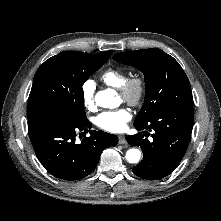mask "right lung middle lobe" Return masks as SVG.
Wrapping results in <instances>:
<instances>
[{
    "label": "right lung middle lobe",
    "mask_w": 221,
    "mask_h": 221,
    "mask_svg": "<svg viewBox=\"0 0 221 221\" xmlns=\"http://www.w3.org/2000/svg\"><path fill=\"white\" fill-rule=\"evenodd\" d=\"M108 59L102 53L65 51L46 60L34 76L28 118L48 112L74 121L86 120L82 86Z\"/></svg>",
    "instance_id": "right-lung-middle-lobe-1"
}]
</instances>
